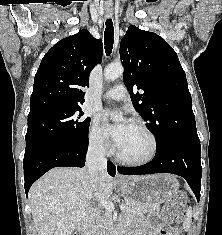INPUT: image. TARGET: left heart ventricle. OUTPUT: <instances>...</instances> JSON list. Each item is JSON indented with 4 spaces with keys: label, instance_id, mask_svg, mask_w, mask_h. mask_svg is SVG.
Masks as SVG:
<instances>
[{
    "label": "left heart ventricle",
    "instance_id": "b2bd125f",
    "mask_svg": "<svg viewBox=\"0 0 222 235\" xmlns=\"http://www.w3.org/2000/svg\"><path fill=\"white\" fill-rule=\"evenodd\" d=\"M152 149V140L148 134L133 124H130L122 143L118 146L120 154L131 160L147 158Z\"/></svg>",
    "mask_w": 222,
    "mask_h": 235
}]
</instances>
